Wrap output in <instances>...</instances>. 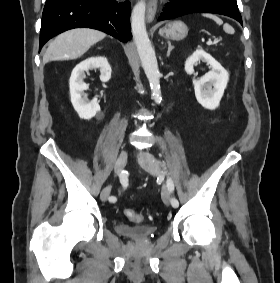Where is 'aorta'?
<instances>
[{"mask_svg": "<svg viewBox=\"0 0 280 283\" xmlns=\"http://www.w3.org/2000/svg\"><path fill=\"white\" fill-rule=\"evenodd\" d=\"M146 2L140 0L133 8L131 15V28L133 39L137 48L142 67L149 81L152 99L161 102L160 72L155 52L149 40L145 25Z\"/></svg>", "mask_w": 280, "mask_h": 283, "instance_id": "aorta-1", "label": "aorta"}]
</instances>
